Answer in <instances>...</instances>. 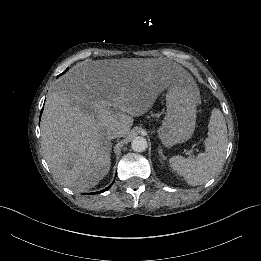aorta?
Segmentation results:
<instances>
[{
  "mask_svg": "<svg viewBox=\"0 0 261 261\" xmlns=\"http://www.w3.org/2000/svg\"><path fill=\"white\" fill-rule=\"evenodd\" d=\"M147 140L142 136H137L133 138L131 142V148L136 152H143L147 149Z\"/></svg>",
  "mask_w": 261,
  "mask_h": 261,
  "instance_id": "762f6f07",
  "label": "aorta"
}]
</instances>
